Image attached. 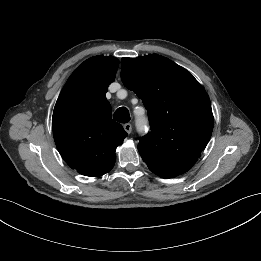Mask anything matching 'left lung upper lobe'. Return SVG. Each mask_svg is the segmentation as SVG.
Listing matches in <instances>:
<instances>
[{
    "instance_id": "obj_1",
    "label": "left lung upper lobe",
    "mask_w": 261,
    "mask_h": 261,
    "mask_svg": "<svg viewBox=\"0 0 261 261\" xmlns=\"http://www.w3.org/2000/svg\"><path fill=\"white\" fill-rule=\"evenodd\" d=\"M121 79L142 99L151 132L138 151L155 174L177 176L198 160L212 134L210 99L193 75L157 54L122 58Z\"/></svg>"
}]
</instances>
